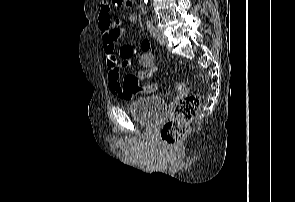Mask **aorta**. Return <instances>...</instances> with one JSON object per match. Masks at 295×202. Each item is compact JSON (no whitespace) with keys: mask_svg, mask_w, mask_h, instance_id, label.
<instances>
[{"mask_svg":"<svg viewBox=\"0 0 295 202\" xmlns=\"http://www.w3.org/2000/svg\"><path fill=\"white\" fill-rule=\"evenodd\" d=\"M144 4H147L148 0H142ZM145 13H147L146 10H144Z\"/></svg>","mask_w":295,"mask_h":202,"instance_id":"1","label":"aorta"}]
</instances>
